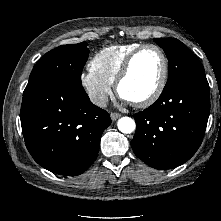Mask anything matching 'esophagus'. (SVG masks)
Segmentation results:
<instances>
[{
    "instance_id": "34e87169",
    "label": "esophagus",
    "mask_w": 221,
    "mask_h": 221,
    "mask_svg": "<svg viewBox=\"0 0 221 221\" xmlns=\"http://www.w3.org/2000/svg\"><path fill=\"white\" fill-rule=\"evenodd\" d=\"M110 117H111V119H112L113 121H115V120H117L118 118L121 117V114L112 112V113L110 114Z\"/></svg>"
}]
</instances>
